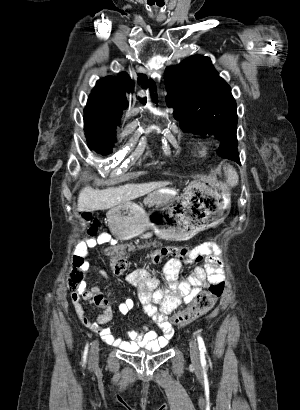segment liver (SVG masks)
<instances>
[{"instance_id": "1", "label": "liver", "mask_w": 300, "mask_h": 410, "mask_svg": "<svg viewBox=\"0 0 300 410\" xmlns=\"http://www.w3.org/2000/svg\"><path fill=\"white\" fill-rule=\"evenodd\" d=\"M167 184L168 182L126 184L104 190L93 189L90 186H86L79 193L78 210L81 212H93L112 208L164 187ZM230 185H232L231 182Z\"/></svg>"}]
</instances>
